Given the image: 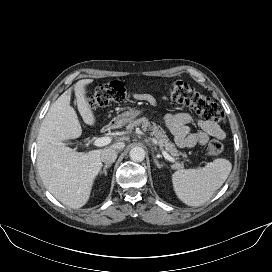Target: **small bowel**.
I'll return each instance as SVG.
<instances>
[{
    "instance_id": "small-bowel-1",
    "label": "small bowel",
    "mask_w": 272,
    "mask_h": 272,
    "mask_svg": "<svg viewBox=\"0 0 272 272\" xmlns=\"http://www.w3.org/2000/svg\"><path fill=\"white\" fill-rule=\"evenodd\" d=\"M132 96L135 100L145 102L153 107L161 104V100L148 93H134ZM164 121L175 143L181 148L205 145L210 137L221 140L225 138V132L216 122L196 119L188 113H167ZM191 123H196L200 129L191 133L189 129Z\"/></svg>"
}]
</instances>
